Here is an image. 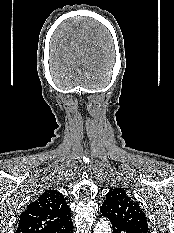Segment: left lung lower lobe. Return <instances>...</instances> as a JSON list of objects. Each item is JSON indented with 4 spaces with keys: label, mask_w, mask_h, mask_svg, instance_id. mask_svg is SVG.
<instances>
[{
    "label": "left lung lower lobe",
    "mask_w": 174,
    "mask_h": 233,
    "mask_svg": "<svg viewBox=\"0 0 174 233\" xmlns=\"http://www.w3.org/2000/svg\"><path fill=\"white\" fill-rule=\"evenodd\" d=\"M112 224V233H147L144 230L137 229L135 227L125 225L116 221H110Z\"/></svg>",
    "instance_id": "0a47b994"
}]
</instances>
